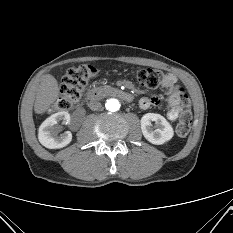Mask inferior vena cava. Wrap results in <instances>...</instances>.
Here are the masks:
<instances>
[{
	"label": "inferior vena cava",
	"instance_id": "1",
	"mask_svg": "<svg viewBox=\"0 0 233 233\" xmlns=\"http://www.w3.org/2000/svg\"><path fill=\"white\" fill-rule=\"evenodd\" d=\"M101 103L99 101H96V100H91L89 103H88V107L93 110V111H97L101 108Z\"/></svg>",
	"mask_w": 233,
	"mask_h": 233
}]
</instances>
